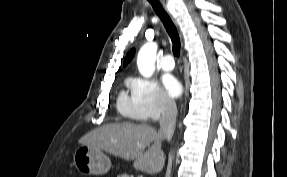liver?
<instances>
[{
	"instance_id": "6515ba94",
	"label": "liver",
	"mask_w": 287,
	"mask_h": 177,
	"mask_svg": "<svg viewBox=\"0 0 287 177\" xmlns=\"http://www.w3.org/2000/svg\"><path fill=\"white\" fill-rule=\"evenodd\" d=\"M162 139L159 132L147 124L121 122L105 124L83 136L79 143L125 160H134L136 169L155 174L164 165Z\"/></svg>"
}]
</instances>
